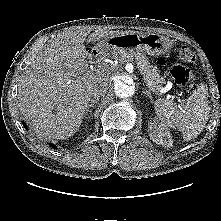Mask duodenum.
Here are the masks:
<instances>
[{
  "instance_id": "duodenum-1",
  "label": "duodenum",
  "mask_w": 221,
  "mask_h": 221,
  "mask_svg": "<svg viewBox=\"0 0 221 221\" xmlns=\"http://www.w3.org/2000/svg\"><path fill=\"white\" fill-rule=\"evenodd\" d=\"M90 58L92 61H97L100 58V53L97 51H94L91 53Z\"/></svg>"
}]
</instances>
